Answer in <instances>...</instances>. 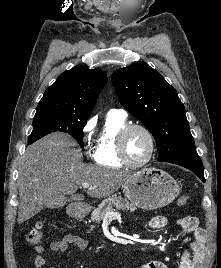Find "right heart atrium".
I'll return each instance as SVG.
<instances>
[{
    "instance_id": "right-heart-atrium-1",
    "label": "right heart atrium",
    "mask_w": 221,
    "mask_h": 268,
    "mask_svg": "<svg viewBox=\"0 0 221 268\" xmlns=\"http://www.w3.org/2000/svg\"><path fill=\"white\" fill-rule=\"evenodd\" d=\"M94 126H95V120L89 119L83 127L85 152L88 156H93V151L91 144L89 142V137L94 129Z\"/></svg>"
}]
</instances>
